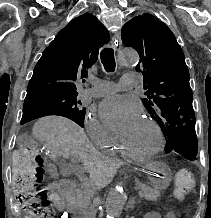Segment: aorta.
Instances as JSON below:
<instances>
[{
	"instance_id": "aorta-1",
	"label": "aorta",
	"mask_w": 211,
	"mask_h": 218,
	"mask_svg": "<svg viewBox=\"0 0 211 218\" xmlns=\"http://www.w3.org/2000/svg\"><path fill=\"white\" fill-rule=\"evenodd\" d=\"M118 60L122 65L137 64L139 56L134 50H123L118 55ZM127 196L120 182L115 189L111 191L106 205L107 218H116L120 215L125 205Z\"/></svg>"
}]
</instances>
